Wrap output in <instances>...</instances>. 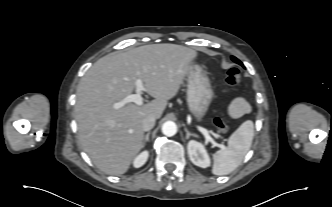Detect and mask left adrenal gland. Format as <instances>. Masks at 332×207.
Segmentation results:
<instances>
[{"label":"left adrenal gland","instance_id":"left-adrenal-gland-1","mask_svg":"<svg viewBox=\"0 0 332 207\" xmlns=\"http://www.w3.org/2000/svg\"><path fill=\"white\" fill-rule=\"evenodd\" d=\"M185 132H186V139H189L190 136H194V137L196 136L195 134L190 133L186 127H185Z\"/></svg>","mask_w":332,"mask_h":207}]
</instances>
